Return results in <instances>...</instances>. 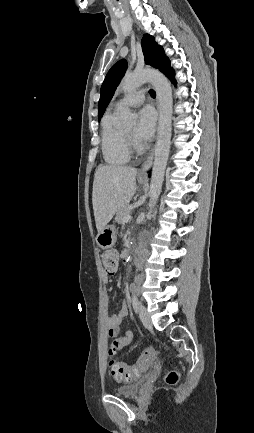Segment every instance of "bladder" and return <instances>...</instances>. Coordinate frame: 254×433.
I'll use <instances>...</instances> for the list:
<instances>
[{"label":"bladder","instance_id":"bladder-1","mask_svg":"<svg viewBox=\"0 0 254 433\" xmlns=\"http://www.w3.org/2000/svg\"><path fill=\"white\" fill-rule=\"evenodd\" d=\"M140 382H135L129 385L120 386L114 389V393L120 397L131 398L138 394Z\"/></svg>","mask_w":254,"mask_h":433}]
</instances>
